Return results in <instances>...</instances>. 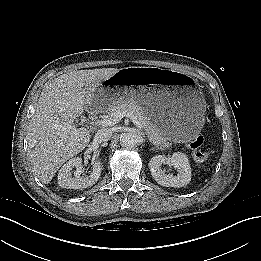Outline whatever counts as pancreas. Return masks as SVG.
<instances>
[{
	"label": "pancreas",
	"instance_id": "cf45deb5",
	"mask_svg": "<svg viewBox=\"0 0 261 261\" xmlns=\"http://www.w3.org/2000/svg\"><path fill=\"white\" fill-rule=\"evenodd\" d=\"M124 110L132 112L137 117L143 129L145 130L149 141L152 142L157 148L162 149L170 147L168 138L157 130L143 106L136 103L135 101L113 103L108 107L107 114L111 115L118 111Z\"/></svg>",
	"mask_w": 261,
	"mask_h": 261
}]
</instances>
